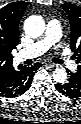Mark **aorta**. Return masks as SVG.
I'll use <instances>...</instances> for the list:
<instances>
[{
  "instance_id": "obj_1",
  "label": "aorta",
  "mask_w": 81,
  "mask_h": 124,
  "mask_svg": "<svg viewBox=\"0 0 81 124\" xmlns=\"http://www.w3.org/2000/svg\"><path fill=\"white\" fill-rule=\"evenodd\" d=\"M24 31L32 38H37L45 31V22L40 16H30L25 20ZM53 79L57 83H64L67 79V73L64 69L57 68L53 71Z\"/></svg>"
}]
</instances>
